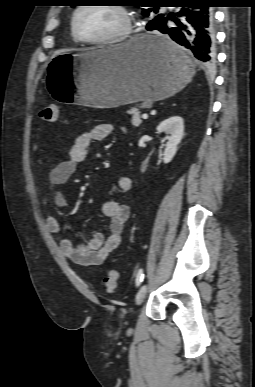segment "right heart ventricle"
<instances>
[{
	"mask_svg": "<svg viewBox=\"0 0 255 387\" xmlns=\"http://www.w3.org/2000/svg\"><path fill=\"white\" fill-rule=\"evenodd\" d=\"M72 36H73V34H72ZM73 40H74V41H77L76 38H75L74 36H73Z\"/></svg>",
	"mask_w": 255,
	"mask_h": 387,
	"instance_id": "obj_1",
	"label": "right heart ventricle"
}]
</instances>
